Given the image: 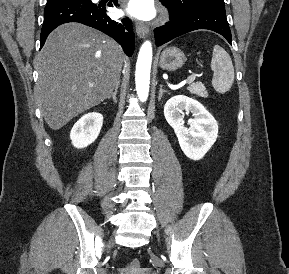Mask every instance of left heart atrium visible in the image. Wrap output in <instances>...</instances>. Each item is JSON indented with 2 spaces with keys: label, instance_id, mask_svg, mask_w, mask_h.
<instances>
[{
  "label": "left heart atrium",
  "instance_id": "1",
  "mask_svg": "<svg viewBox=\"0 0 289 274\" xmlns=\"http://www.w3.org/2000/svg\"><path fill=\"white\" fill-rule=\"evenodd\" d=\"M126 12L142 20L150 19L155 12L153 0H129Z\"/></svg>",
  "mask_w": 289,
  "mask_h": 274
}]
</instances>
